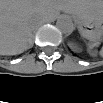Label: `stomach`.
<instances>
[{
	"label": "stomach",
	"mask_w": 103,
	"mask_h": 103,
	"mask_svg": "<svg viewBox=\"0 0 103 103\" xmlns=\"http://www.w3.org/2000/svg\"><path fill=\"white\" fill-rule=\"evenodd\" d=\"M79 1V0H76ZM70 14L82 37L96 40L103 33V3L99 0H81L72 6Z\"/></svg>",
	"instance_id": "1"
}]
</instances>
